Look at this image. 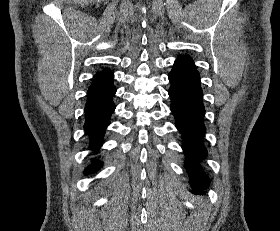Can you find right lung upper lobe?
Instances as JSON below:
<instances>
[{
  "label": "right lung upper lobe",
  "mask_w": 280,
  "mask_h": 231,
  "mask_svg": "<svg viewBox=\"0 0 280 231\" xmlns=\"http://www.w3.org/2000/svg\"><path fill=\"white\" fill-rule=\"evenodd\" d=\"M113 73L104 69L94 75L91 86L88 89V95H94L102 92L106 89L114 87L113 83Z\"/></svg>",
  "instance_id": "1"
}]
</instances>
